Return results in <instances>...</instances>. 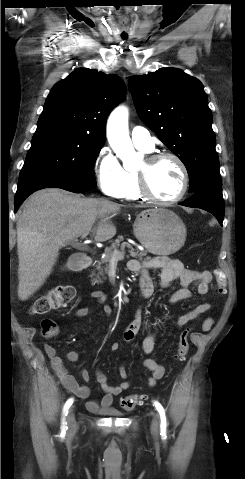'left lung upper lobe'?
I'll use <instances>...</instances> for the list:
<instances>
[{
	"label": "left lung upper lobe",
	"mask_w": 245,
	"mask_h": 479,
	"mask_svg": "<svg viewBox=\"0 0 245 479\" xmlns=\"http://www.w3.org/2000/svg\"><path fill=\"white\" fill-rule=\"evenodd\" d=\"M139 116L185 165L189 192L219 179L212 114L202 83L177 68L129 79Z\"/></svg>",
	"instance_id": "5c2ea615"
}]
</instances>
